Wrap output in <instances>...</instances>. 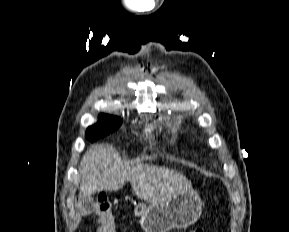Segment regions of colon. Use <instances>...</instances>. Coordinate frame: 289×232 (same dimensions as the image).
Returning <instances> with one entry per match:
<instances>
[{"label":"colon","instance_id":"colon-1","mask_svg":"<svg viewBox=\"0 0 289 232\" xmlns=\"http://www.w3.org/2000/svg\"><path fill=\"white\" fill-rule=\"evenodd\" d=\"M95 213L99 222L98 232H116L111 212V202L106 195L98 197ZM188 232H204V230L198 228Z\"/></svg>","mask_w":289,"mask_h":232}]
</instances>
